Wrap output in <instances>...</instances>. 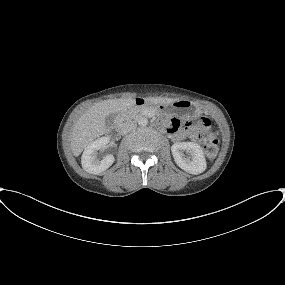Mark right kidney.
<instances>
[{
    "instance_id": "1",
    "label": "right kidney",
    "mask_w": 285,
    "mask_h": 285,
    "mask_svg": "<svg viewBox=\"0 0 285 285\" xmlns=\"http://www.w3.org/2000/svg\"><path fill=\"white\" fill-rule=\"evenodd\" d=\"M109 143L108 137H101L91 142L84 150L81 157L82 168L91 174H99L108 169L114 162V156L109 154L102 160L97 158V151L106 149Z\"/></svg>"
}]
</instances>
